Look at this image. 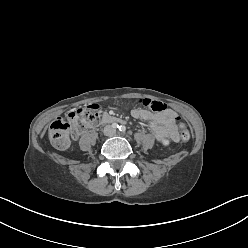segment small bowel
<instances>
[{
    "label": "small bowel",
    "mask_w": 248,
    "mask_h": 248,
    "mask_svg": "<svg viewBox=\"0 0 248 248\" xmlns=\"http://www.w3.org/2000/svg\"><path fill=\"white\" fill-rule=\"evenodd\" d=\"M131 115L144 121L159 141H179L180 137L175 125L178 115L175 111L166 109L158 113H151L148 110L137 108L131 111Z\"/></svg>",
    "instance_id": "1"
}]
</instances>
